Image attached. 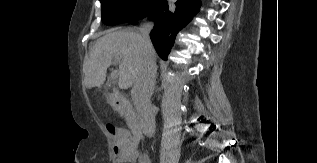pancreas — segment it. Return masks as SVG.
Instances as JSON below:
<instances>
[{
    "mask_svg": "<svg viewBox=\"0 0 317 163\" xmlns=\"http://www.w3.org/2000/svg\"><path fill=\"white\" fill-rule=\"evenodd\" d=\"M128 121H131L133 118V114H129L125 116Z\"/></svg>",
    "mask_w": 317,
    "mask_h": 163,
    "instance_id": "pancreas-1",
    "label": "pancreas"
}]
</instances>
